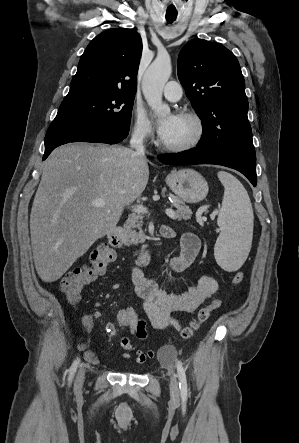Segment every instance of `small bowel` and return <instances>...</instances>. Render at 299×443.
<instances>
[{
  "label": "small bowel",
  "mask_w": 299,
  "mask_h": 443,
  "mask_svg": "<svg viewBox=\"0 0 299 443\" xmlns=\"http://www.w3.org/2000/svg\"><path fill=\"white\" fill-rule=\"evenodd\" d=\"M167 236L165 238H173L175 231L169 226H163ZM200 249V240L197 235L192 232H186L180 243V252L169 260V268L174 272H182L186 270L195 260ZM132 282L135 286L137 296L142 300V308L145 316L151 323L152 327L158 330L171 328L180 329L179 321L174 317L175 313L193 314L207 299L214 295L218 289L216 280L209 276H201L196 286L189 287L183 292H168L160 287V285L144 274L140 264L135 265L131 270ZM100 312H93L87 317L89 324L94 319L101 318ZM144 320L143 335L138 340L144 342L147 336L146 321ZM106 333L109 336L117 334V328L114 323L108 322L105 326ZM120 344L124 349L122 356L124 358L133 357L138 364L145 363L148 359H153L155 353L153 350L143 346L137 348L131 344L128 337H122ZM87 357L94 361L95 355L91 352L87 353Z\"/></svg>",
  "instance_id": "c3829d8e"
}]
</instances>
